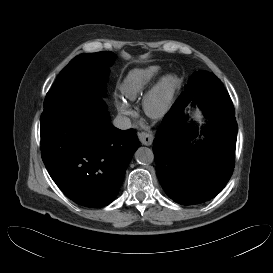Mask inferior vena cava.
I'll return each instance as SVG.
<instances>
[{
    "label": "inferior vena cava",
    "mask_w": 273,
    "mask_h": 273,
    "mask_svg": "<svg viewBox=\"0 0 273 273\" xmlns=\"http://www.w3.org/2000/svg\"><path fill=\"white\" fill-rule=\"evenodd\" d=\"M113 125L118 129L127 130L131 128V121L128 117L119 115L113 120Z\"/></svg>",
    "instance_id": "1"
}]
</instances>
